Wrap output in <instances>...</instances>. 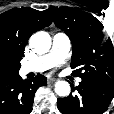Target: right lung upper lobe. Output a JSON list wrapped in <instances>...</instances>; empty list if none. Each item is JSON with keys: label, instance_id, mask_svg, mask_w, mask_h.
Listing matches in <instances>:
<instances>
[{"label": "right lung upper lobe", "instance_id": "obj_1", "mask_svg": "<svg viewBox=\"0 0 114 114\" xmlns=\"http://www.w3.org/2000/svg\"><path fill=\"white\" fill-rule=\"evenodd\" d=\"M51 24L44 11L15 8L0 14V66L20 68L30 36Z\"/></svg>", "mask_w": 114, "mask_h": 114}]
</instances>
